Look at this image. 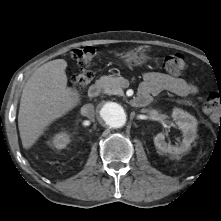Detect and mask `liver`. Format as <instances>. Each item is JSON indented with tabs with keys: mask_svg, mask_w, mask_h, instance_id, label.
<instances>
[{
	"mask_svg": "<svg viewBox=\"0 0 221 221\" xmlns=\"http://www.w3.org/2000/svg\"><path fill=\"white\" fill-rule=\"evenodd\" d=\"M64 59L40 66L26 82L20 100L18 128L22 145L29 149L53 121L80 102L77 90L67 87Z\"/></svg>",
	"mask_w": 221,
	"mask_h": 221,
	"instance_id": "obj_1",
	"label": "liver"
}]
</instances>
